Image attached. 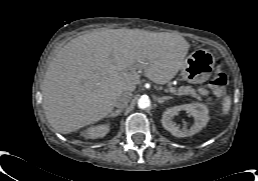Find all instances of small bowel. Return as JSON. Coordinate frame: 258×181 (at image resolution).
Returning a JSON list of instances; mask_svg holds the SVG:
<instances>
[{
    "instance_id": "small-bowel-1",
    "label": "small bowel",
    "mask_w": 258,
    "mask_h": 181,
    "mask_svg": "<svg viewBox=\"0 0 258 181\" xmlns=\"http://www.w3.org/2000/svg\"><path fill=\"white\" fill-rule=\"evenodd\" d=\"M201 93L206 95L207 94V91L205 89H201Z\"/></svg>"
}]
</instances>
